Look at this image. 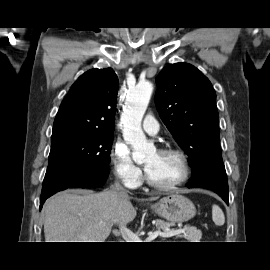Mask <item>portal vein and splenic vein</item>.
Wrapping results in <instances>:
<instances>
[{"label": "portal vein and splenic vein", "instance_id": "1", "mask_svg": "<svg viewBox=\"0 0 270 270\" xmlns=\"http://www.w3.org/2000/svg\"><path fill=\"white\" fill-rule=\"evenodd\" d=\"M186 228H180L176 230H167L166 232L155 231L151 233L144 242H151L152 240L156 239L158 236L168 238L172 237L181 233H184ZM120 233L122 237L126 240V242H143L139 236L129 230L126 226L120 227Z\"/></svg>", "mask_w": 270, "mask_h": 270}]
</instances>
